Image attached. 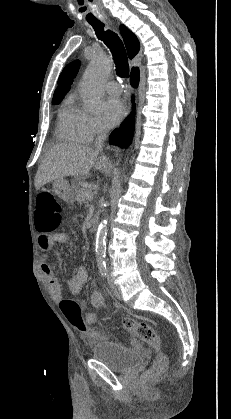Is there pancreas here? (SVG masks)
Instances as JSON below:
<instances>
[{
	"label": "pancreas",
	"instance_id": "pancreas-1",
	"mask_svg": "<svg viewBox=\"0 0 231 419\" xmlns=\"http://www.w3.org/2000/svg\"><path fill=\"white\" fill-rule=\"evenodd\" d=\"M78 187H76V201L79 205H81L85 201V194L88 192H91L89 188L82 186V184L79 182Z\"/></svg>",
	"mask_w": 231,
	"mask_h": 419
}]
</instances>
